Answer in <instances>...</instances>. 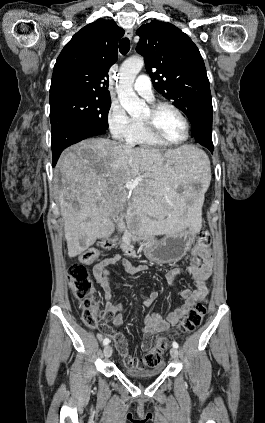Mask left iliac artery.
<instances>
[{
  "label": "left iliac artery",
  "instance_id": "44dca946",
  "mask_svg": "<svg viewBox=\"0 0 265 423\" xmlns=\"http://www.w3.org/2000/svg\"><path fill=\"white\" fill-rule=\"evenodd\" d=\"M172 345H173V347H175V348H178V347H179V345H178V343H177L176 341H173Z\"/></svg>",
  "mask_w": 265,
  "mask_h": 423
}]
</instances>
